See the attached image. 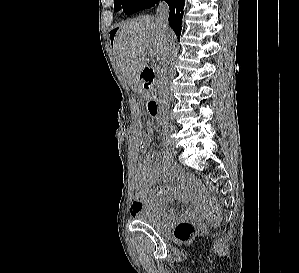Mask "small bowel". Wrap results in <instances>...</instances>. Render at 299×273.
<instances>
[{"label": "small bowel", "mask_w": 299, "mask_h": 273, "mask_svg": "<svg viewBox=\"0 0 299 273\" xmlns=\"http://www.w3.org/2000/svg\"><path fill=\"white\" fill-rule=\"evenodd\" d=\"M154 125L151 122L146 124V133H139L136 140L139 147H144L145 138L152 141ZM150 158L154 161L147 164H139L136 175L137 193L131 206V215L136 217L141 211L147 210L159 215H173L171 209H165V204L175 197L183 202H192L194 206L187 212L188 217H196L199 213V206L194 195L188 192L186 178L176 171L173 166L160 159L159 156L150 152ZM176 181L181 192L174 185H164L153 188L152 185L158 181Z\"/></svg>", "instance_id": "c3829d8e"}]
</instances>
